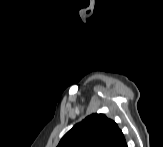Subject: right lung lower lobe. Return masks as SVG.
Returning <instances> with one entry per match:
<instances>
[{
    "instance_id": "1",
    "label": "right lung lower lobe",
    "mask_w": 163,
    "mask_h": 147,
    "mask_svg": "<svg viewBox=\"0 0 163 147\" xmlns=\"http://www.w3.org/2000/svg\"><path fill=\"white\" fill-rule=\"evenodd\" d=\"M114 147H127L125 138H123L121 141H119Z\"/></svg>"
}]
</instances>
